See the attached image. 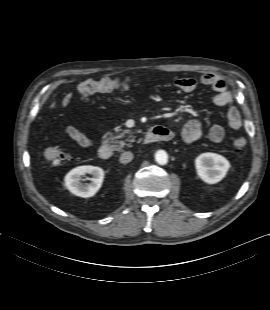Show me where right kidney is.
Wrapping results in <instances>:
<instances>
[{
    "mask_svg": "<svg viewBox=\"0 0 270 310\" xmlns=\"http://www.w3.org/2000/svg\"><path fill=\"white\" fill-rule=\"evenodd\" d=\"M90 174L91 183L84 185L81 180L82 176ZM104 179V171L100 167L95 166H79L69 171L65 178L66 188L74 195L79 197H92L100 189Z\"/></svg>",
    "mask_w": 270,
    "mask_h": 310,
    "instance_id": "right-kidney-1",
    "label": "right kidney"
}]
</instances>
